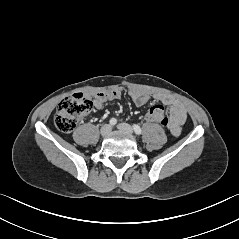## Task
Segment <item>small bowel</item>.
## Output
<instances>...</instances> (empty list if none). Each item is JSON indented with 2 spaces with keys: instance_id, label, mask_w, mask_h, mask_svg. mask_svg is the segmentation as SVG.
<instances>
[{
  "instance_id": "c3829d8e",
  "label": "small bowel",
  "mask_w": 239,
  "mask_h": 239,
  "mask_svg": "<svg viewBox=\"0 0 239 239\" xmlns=\"http://www.w3.org/2000/svg\"><path fill=\"white\" fill-rule=\"evenodd\" d=\"M91 96L93 98L95 108L100 110L107 101L119 99L121 97V91L112 90L97 92ZM130 96L133 102L138 106L144 105L151 98L149 94L138 89L131 90ZM152 98L157 102V104L168 108L169 116H165L167 119L165 127L168 128L172 135L178 136L181 133V128L187 118V112L183 104L174 97L162 93L154 94Z\"/></svg>"
}]
</instances>
